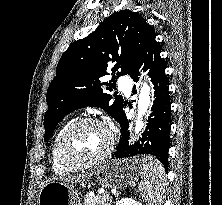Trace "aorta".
<instances>
[{"instance_id": "762f6f07", "label": "aorta", "mask_w": 222, "mask_h": 205, "mask_svg": "<svg viewBox=\"0 0 222 205\" xmlns=\"http://www.w3.org/2000/svg\"><path fill=\"white\" fill-rule=\"evenodd\" d=\"M151 106V93L149 85L144 82L139 93L137 100V114L135 117L133 133L135 136L139 135L140 132L144 129L143 116L148 111Z\"/></svg>"}]
</instances>
